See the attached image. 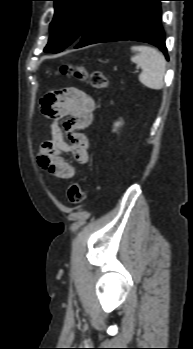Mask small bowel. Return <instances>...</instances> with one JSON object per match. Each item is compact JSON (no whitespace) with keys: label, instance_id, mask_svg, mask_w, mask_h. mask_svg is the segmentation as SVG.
Masks as SVG:
<instances>
[{"label":"small bowel","instance_id":"obj_1","mask_svg":"<svg viewBox=\"0 0 193 349\" xmlns=\"http://www.w3.org/2000/svg\"><path fill=\"white\" fill-rule=\"evenodd\" d=\"M94 110V100L74 87L58 92L52 110L43 108L51 124L49 138L40 147L38 162L49 174L61 179L76 175L77 168L67 162L63 154H71L79 165L89 161V140L82 130L91 125Z\"/></svg>","mask_w":193,"mask_h":349}]
</instances>
